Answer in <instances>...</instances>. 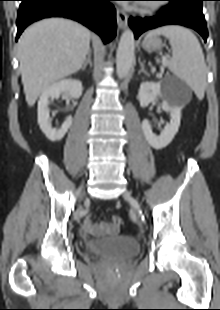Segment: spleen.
Listing matches in <instances>:
<instances>
[{"label":"spleen","instance_id":"obj_1","mask_svg":"<svg viewBox=\"0 0 220 310\" xmlns=\"http://www.w3.org/2000/svg\"><path fill=\"white\" fill-rule=\"evenodd\" d=\"M157 35L167 37L171 45L172 57L165 65L202 99L206 87V63L197 37L189 29L178 25L152 30L147 38Z\"/></svg>","mask_w":220,"mask_h":310}]
</instances>
